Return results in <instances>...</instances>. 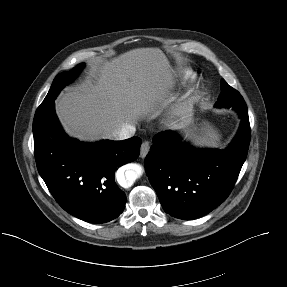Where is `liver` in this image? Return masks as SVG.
Here are the masks:
<instances>
[{
	"label": "liver",
	"instance_id": "1",
	"mask_svg": "<svg viewBox=\"0 0 287 287\" xmlns=\"http://www.w3.org/2000/svg\"><path fill=\"white\" fill-rule=\"evenodd\" d=\"M91 79L68 88L55 101L65 131L85 141L112 139L114 130L135 125L151 112L174 86V70L158 48H138L111 61L93 59ZM191 119L181 104L171 108L170 129L185 128Z\"/></svg>",
	"mask_w": 287,
	"mask_h": 287
}]
</instances>
